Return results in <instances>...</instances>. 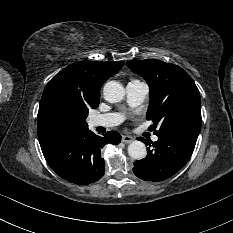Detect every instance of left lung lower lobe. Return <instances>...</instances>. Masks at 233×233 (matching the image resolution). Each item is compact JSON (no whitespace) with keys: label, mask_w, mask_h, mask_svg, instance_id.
<instances>
[{"label":"left lung lower lobe","mask_w":233,"mask_h":233,"mask_svg":"<svg viewBox=\"0 0 233 233\" xmlns=\"http://www.w3.org/2000/svg\"><path fill=\"white\" fill-rule=\"evenodd\" d=\"M199 132V127L190 126L157 135L158 140L152 143V149L149 143L147 156L133 163L134 174L146 181H162L173 176L191 157ZM138 139L147 145L144 138Z\"/></svg>","instance_id":"obj_1"}]
</instances>
